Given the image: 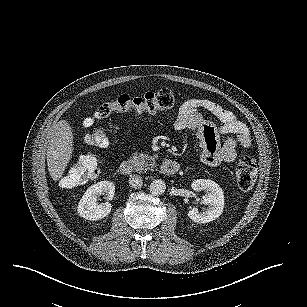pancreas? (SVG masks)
<instances>
[{"label": "pancreas", "mask_w": 307, "mask_h": 307, "mask_svg": "<svg viewBox=\"0 0 307 307\" xmlns=\"http://www.w3.org/2000/svg\"><path fill=\"white\" fill-rule=\"evenodd\" d=\"M156 158L155 156H150L148 154L143 153H134L131 162L134 166L135 171L142 172L147 170H154L156 167Z\"/></svg>", "instance_id": "cf45deb5"}]
</instances>
